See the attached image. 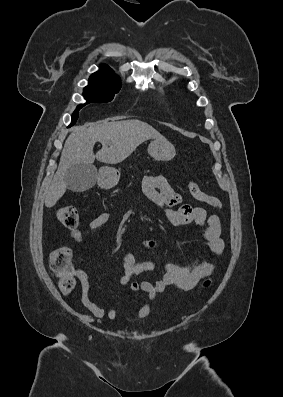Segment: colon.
Instances as JSON below:
<instances>
[{
  "mask_svg": "<svg viewBox=\"0 0 283 397\" xmlns=\"http://www.w3.org/2000/svg\"><path fill=\"white\" fill-rule=\"evenodd\" d=\"M188 190L196 200L216 208L221 207L220 201L204 193L195 181H189ZM56 218L63 226L74 228L79 222V212L74 206H63L57 210ZM48 260L51 270L58 277L61 292L63 294H69L76 286L72 250L68 247L54 248L49 252ZM209 285L210 281L204 282L205 287Z\"/></svg>",
  "mask_w": 283,
  "mask_h": 397,
  "instance_id": "obj_1",
  "label": "colon"
}]
</instances>
